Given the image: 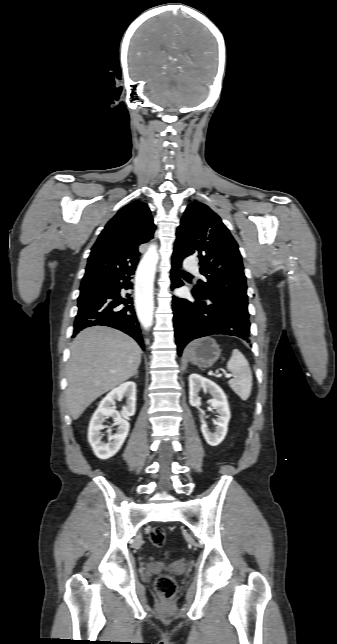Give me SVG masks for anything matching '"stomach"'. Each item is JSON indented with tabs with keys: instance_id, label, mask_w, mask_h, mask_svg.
<instances>
[{
	"instance_id": "stomach-1",
	"label": "stomach",
	"mask_w": 337,
	"mask_h": 644,
	"mask_svg": "<svg viewBox=\"0 0 337 644\" xmlns=\"http://www.w3.org/2000/svg\"><path fill=\"white\" fill-rule=\"evenodd\" d=\"M221 349L210 337L192 342L185 350L184 360L201 368H209L219 359Z\"/></svg>"
}]
</instances>
